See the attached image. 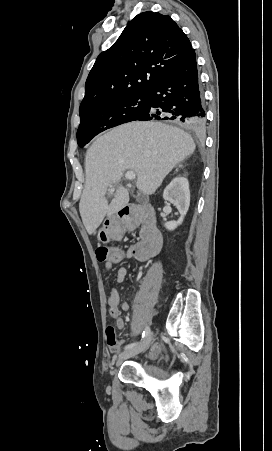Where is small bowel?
Returning a JSON list of instances; mask_svg holds the SVG:
<instances>
[{
    "label": "small bowel",
    "mask_w": 272,
    "mask_h": 451,
    "mask_svg": "<svg viewBox=\"0 0 272 451\" xmlns=\"http://www.w3.org/2000/svg\"><path fill=\"white\" fill-rule=\"evenodd\" d=\"M123 258V253L120 257H115L111 260L105 261L104 263V269L109 271L112 269L113 265L115 263H118ZM128 274V270L126 267H120L116 274H115V280L118 284H121L124 282L126 276ZM129 304L126 302L120 303V294L119 290L115 286H110L109 288V294H108V311L110 316L115 322V325L118 329L123 330L126 326V323L124 319L121 316V310L128 311L129 310ZM120 350V345H118L115 348H112L113 352H118ZM162 350L161 344H156L153 346L151 350L152 356H157Z\"/></svg>",
    "instance_id": "c3829d8e"
}]
</instances>
